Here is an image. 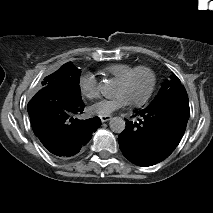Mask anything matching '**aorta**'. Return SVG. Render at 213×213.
I'll return each instance as SVG.
<instances>
[{
  "mask_svg": "<svg viewBox=\"0 0 213 213\" xmlns=\"http://www.w3.org/2000/svg\"><path fill=\"white\" fill-rule=\"evenodd\" d=\"M102 94L110 98L113 95V87L107 80L100 85ZM109 127L114 133H122L125 130V121L121 117H112L109 121Z\"/></svg>",
  "mask_w": 213,
  "mask_h": 213,
  "instance_id": "762f6f07",
  "label": "aorta"
}]
</instances>
